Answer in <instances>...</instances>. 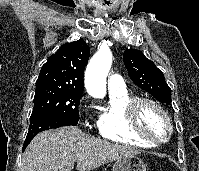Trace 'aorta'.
Returning <instances> with one entry per match:
<instances>
[{
    "instance_id": "1",
    "label": "aorta",
    "mask_w": 199,
    "mask_h": 171,
    "mask_svg": "<svg viewBox=\"0 0 199 171\" xmlns=\"http://www.w3.org/2000/svg\"><path fill=\"white\" fill-rule=\"evenodd\" d=\"M112 64V54L108 48H101L90 60L85 72V87L94 98L106 95V76Z\"/></svg>"
}]
</instances>
